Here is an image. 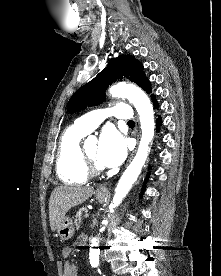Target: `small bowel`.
I'll return each instance as SVG.
<instances>
[{"instance_id":"small-bowel-1","label":"small bowel","mask_w":221,"mask_h":276,"mask_svg":"<svg viewBox=\"0 0 221 276\" xmlns=\"http://www.w3.org/2000/svg\"><path fill=\"white\" fill-rule=\"evenodd\" d=\"M86 242V237L81 236L75 243V246H82ZM71 252V248H65L63 250V256L67 257ZM63 276H78L77 267L69 262L65 263Z\"/></svg>"}]
</instances>
